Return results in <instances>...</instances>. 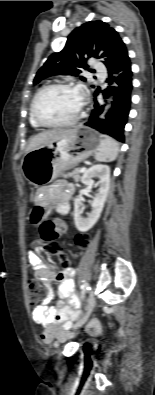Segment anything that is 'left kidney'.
Instances as JSON below:
<instances>
[{
	"label": "left kidney",
	"instance_id": "1",
	"mask_svg": "<svg viewBox=\"0 0 155 395\" xmlns=\"http://www.w3.org/2000/svg\"><path fill=\"white\" fill-rule=\"evenodd\" d=\"M94 178H98V192L91 202L92 211L87 218L82 217L81 199L74 200V222L76 228L81 232L90 230L98 221L103 210L109 187H110V168L104 164H96L86 170L81 178V182L86 186L94 184Z\"/></svg>",
	"mask_w": 155,
	"mask_h": 395
}]
</instances>
